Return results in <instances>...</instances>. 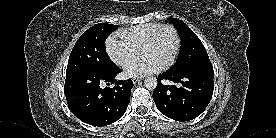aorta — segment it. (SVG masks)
<instances>
[{"label":"aorta","instance_id":"762f6f07","mask_svg":"<svg viewBox=\"0 0 276 138\" xmlns=\"http://www.w3.org/2000/svg\"><path fill=\"white\" fill-rule=\"evenodd\" d=\"M144 85L149 90H154L157 86V79L155 77H147L144 80Z\"/></svg>","mask_w":276,"mask_h":138}]
</instances>
